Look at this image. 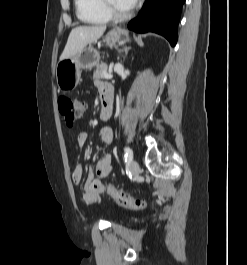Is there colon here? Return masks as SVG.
I'll return each instance as SVG.
<instances>
[{
	"mask_svg": "<svg viewBox=\"0 0 247 265\" xmlns=\"http://www.w3.org/2000/svg\"><path fill=\"white\" fill-rule=\"evenodd\" d=\"M84 104L76 98L61 96L58 98V109L68 126H72L83 114ZM106 192L117 204L131 210H142L147 203L144 200L136 199L114 186L108 184L105 187Z\"/></svg>",
	"mask_w": 247,
	"mask_h": 265,
	"instance_id": "obj_1",
	"label": "colon"
}]
</instances>
